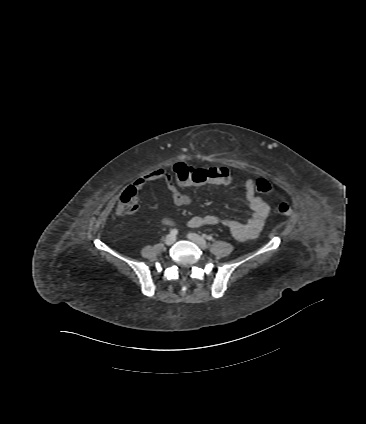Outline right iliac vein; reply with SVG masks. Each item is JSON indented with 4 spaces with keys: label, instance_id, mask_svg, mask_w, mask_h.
<instances>
[{
    "label": "right iliac vein",
    "instance_id": "right-iliac-vein-1",
    "mask_svg": "<svg viewBox=\"0 0 366 424\" xmlns=\"http://www.w3.org/2000/svg\"><path fill=\"white\" fill-rule=\"evenodd\" d=\"M175 240H176V237L175 236H173V235H167L166 237H165V244L166 245H172L174 242H175Z\"/></svg>",
    "mask_w": 366,
    "mask_h": 424
}]
</instances>
